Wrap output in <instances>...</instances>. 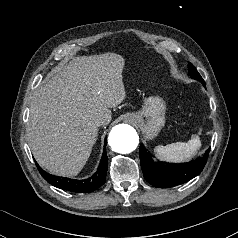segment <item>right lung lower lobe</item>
<instances>
[{"label":"right lung lower lobe","mask_w":238,"mask_h":238,"mask_svg":"<svg viewBox=\"0 0 238 238\" xmlns=\"http://www.w3.org/2000/svg\"><path fill=\"white\" fill-rule=\"evenodd\" d=\"M104 146H106V139H105ZM107 164H108V158L106 154V148H104L98 170L95 172V174L92 177L88 179L74 180L69 178L53 176L45 172L37 163H36V166L40 174L42 175V177L51 185L63 190L71 191V192L89 193L96 190L97 188H99L106 182V173H107V166H108Z\"/></svg>","instance_id":"98d812e1"}]
</instances>
